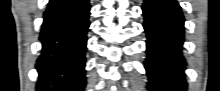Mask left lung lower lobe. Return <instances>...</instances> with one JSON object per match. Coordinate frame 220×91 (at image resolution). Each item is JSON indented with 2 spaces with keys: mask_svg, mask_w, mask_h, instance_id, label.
Segmentation results:
<instances>
[{
  "mask_svg": "<svg viewBox=\"0 0 220 91\" xmlns=\"http://www.w3.org/2000/svg\"><path fill=\"white\" fill-rule=\"evenodd\" d=\"M145 60L150 91H185L184 17L176 0H145Z\"/></svg>",
  "mask_w": 220,
  "mask_h": 91,
  "instance_id": "left-lung-lower-lobe-1",
  "label": "left lung lower lobe"
}]
</instances>
